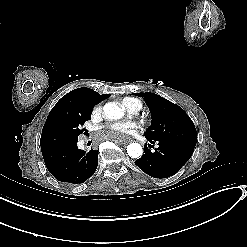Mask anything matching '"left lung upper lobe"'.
I'll return each instance as SVG.
<instances>
[{
  "mask_svg": "<svg viewBox=\"0 0 247 247\" xmlns=\"http://www.w3.org/2000/svg\"><path fill=\"white\" fill-rule=\"evenodd\" d=\"M152 117V124L144 133L147 140L166 141L195 148L196 128L190 117L178 105L150 92L141 93Z\"/></svg>",
  "mask_w": 247,
  "mask_h": 247,
  "instance_id": "1",
  "label": "left lung upper lobe"
}]
</instances>
